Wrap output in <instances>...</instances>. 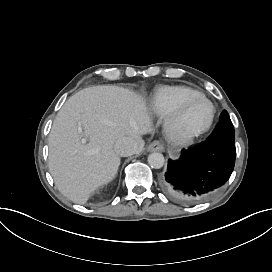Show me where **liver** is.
Wrapping results in <instances>:
<instances>
[{
	"instance_id": "1",
	"label": "liver",
	"mask_w": 272,
	"mask_h": 272,
	"mask_svg": "<svg viewBox=\"0 0 272 272\" xmlns=\"http://www.w3.org/2000/svg\"><path fill=\"white\" fill-rule=\"evenodd\" d=\"M151 131L145 101L134 91L101 85L77 92L57 113L48 138V165L55 185L74 203L85 204L117 174L120 157L115 143L130 137L141 152V135Z\"/></svg>"
}]
</instances>
